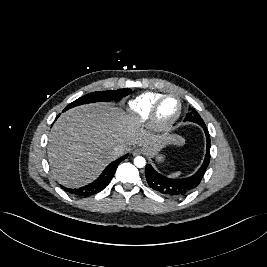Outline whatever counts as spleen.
Masks as SVG:
<instances>
[{
    "mask_svg": "<svg viewBox=\"0 0 267 267\" xmlns=\"http://www.w3.org/2000/svg\"><path fill=\"white\" fill-rule=\"evenodd\" d=\"M181 174V172H176L174 174H172L173 177L179 176Z\"/></svg>",
    "mask_w": 267,
    "mask_h": 267,
    "instance_id": "obj_1",
    "label": "spleen"
}]
</instances>
